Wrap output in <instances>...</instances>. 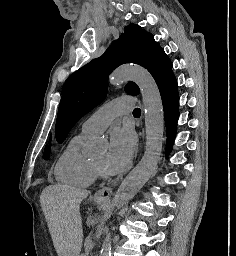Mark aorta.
Returning <instances> with one entry per match:
<instances>
[{"mask_svg":"<svg viewBox=\"0 0 236 256\" xmlns=\"http://www.w3.org/2000/svg\"><path fill=\"white\" fill-rule=\"evenodd\" d=\"M135 82L141 92L145 110L146 148L136 167L126 176L115 194L117 209L128 203L153 174L162 151L164 133L163 104L159 89L150 73L136 65H123L109 77L111 85L126 81ZM111 234L102 243L100 256H111Z\"/></svg>","mask_w":236,"mask_h":256,"instance_id":"1","label":"aorta"}]
</instances>
